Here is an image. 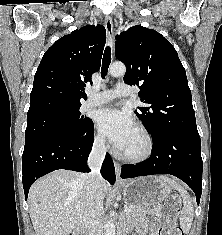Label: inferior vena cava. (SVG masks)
Instances as JSON below:
<instances>
[{"instance_id": "1", "label": "inferior vena cava", "mask_w": 222, "mask_h": 235, "mask_svg": "<svg viewBox=\"0 0 222 235\" xmlns=\"http://www.w3.org/2000/svg\"><path fill=\"white\" fill-rule=\"evenodd\" d=\"M105 139L94 142L88 158L91 172L86 174V207L83 214L84 235H103V198L100 169L105 158Z\"/></svg>"}]
</instances>
